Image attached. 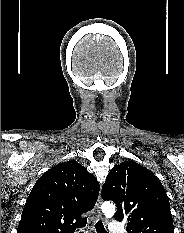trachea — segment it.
<instances>
[{"label":"trachea","mask_w":184,"mask_h":233,"mask_svg":"<svg viewBox=\"0 0 184 233\" xmlns=\"http://www.w3.org/2000/svg\"><path fill=\"white\" fill-rule=\"evenodd\" d=\"M95 228H96L97 233H108V232L105 230V228H104V226H103V224H102L101 221H98V222L95 224ZM79 233H80V232H79Z\"/></svg>","instance_id":"obj_1"}]
</instances>
